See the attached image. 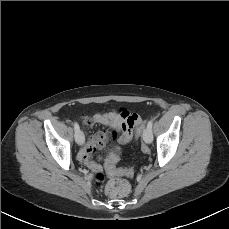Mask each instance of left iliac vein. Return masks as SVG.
<instances>
[{"label": "left iliac vein", "mask_w": 229, "mask_h": 229, "mask_svg": "<svg viewBox=\"0 0 229 229\" xmlns=\"http://www.w3.org/2000/svg\"><path fill=\"white\" fill-rule=\"evenodd\" d=\"M143 140L145 141V143L150 144L153 141V135H152V131L151 129H149L148 127L144 129L143 131Z\"/></svg>", "instance_id": "4c4485c4"}]
</instances>
